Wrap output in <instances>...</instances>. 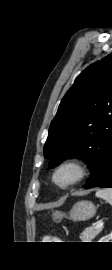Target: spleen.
<instances>
[{"label": "spleen", "mask_w": 112, "mask_h": 270, "mask_svg": "<svg viewBox=\"0 0 112 270\" xmlns=\"http://www.w3.org/2000/svg\"><path fill=\"white\" fill-rule=\"evenodd\" d=\"M96 197L104 199L112 206V188L100 189L96 192Z\"/></svg>", "instance_id": "3e777b00"}]
</instances>
